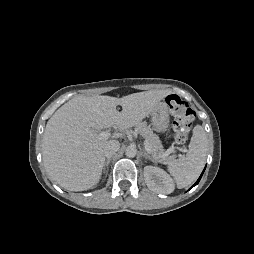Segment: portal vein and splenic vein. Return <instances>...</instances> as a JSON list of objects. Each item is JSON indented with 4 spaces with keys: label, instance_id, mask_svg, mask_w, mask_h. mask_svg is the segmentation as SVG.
<instances>
[{
    "label": "portal vein and splenic vein",
    "instance_id": "1",
    "mask_svg": "<svg viewBox=\"0 0 254 254\" xmlns=\"http://www.w3.org/2000/svg\"><path fill=\"white\" fill-rule=\"evenodd\" d=\"M111 136V132L110 131H103L101 132L98 137L100 139H108ZM145 149L147 150L148 153H151V149L149 147V145L147 143H145ZM174 149H170L167 154H169V152H173Z\"/></svg>",
    "mask_w": 254,
    "mask_h": 254
}]
</instances>
